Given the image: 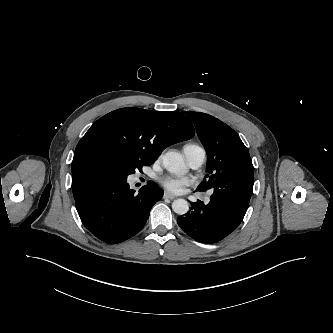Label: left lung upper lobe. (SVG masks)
<instances>
[{
  "label": "left lung upper lobe",
  "instance_id": "5c2ea615",
  "mask_svg": "<svg viewBox=\"0 0 333 333\" xmlns=\"http://www.w3.org/2000/svg\"><path fill=\"white\" fill-rule=\"evenodd\" d=\"M184 113L193 122L208 154L207 174L197 190L214 189L224 170L235 171L236 164L251 159L249 152L238 134L219 119L200 112Z\"/></svg>",
  "mask_w": 333,
  "mask_h": 333
}]
</instances>
